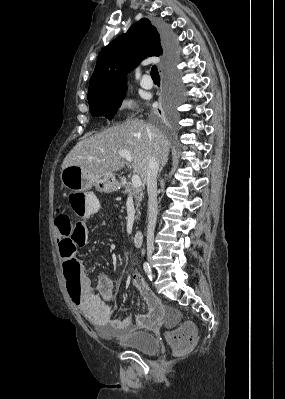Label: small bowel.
I'll use <instances>...</instances> for the list:
<instances>
[{
  "label": "small bowel",
  "instance_id": "1",
  "mask_svg": "<svg viewBox=\"0 0 285 399\" xmlns=\"http://www.w3.org/2000/svg\"><path fill=\"white\" fill-rule=\"evenodd\" d=\"M101 211L99 200L92 193H87V201L84 205L82 215L91 217ZM86 226L85 223H83ZM63 232L57 228V234L61 237ZM71 272L76 275L79 294L75 300L68 292V279H66L67 293L71 301L78 307L82 315L92 324L100 327H108L115 334L126 335L138 329H154L163 325L165 319L171 315L168 314L165 306L155 296L149 288L145 277L135 271L132 275V281L139 290L147 306V313L139 314L133 320L132 316L115 317L110 309V300L113 296V287L111 282L98 276V288L93 290L90 279L85 267L80 260H74L71 266Z\"/></svg>",
  "mask_w": 285,
  "mask_h": 399
}]
</instances>
